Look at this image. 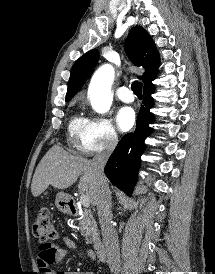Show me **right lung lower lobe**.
Returning a JSON list of instances; mask_svg holds the SVG:
<instances>
[{
	"instance_id": "98d812e1",
	"label": "right lung lower lobe",
	"mask_w": 215,
	"mask_h": 274,
	"mask_svg": "<svg viewBox=\"0 0 215 274\" xmlns=\"http://www.w3.org/2000/svg\"><path fill=\"white\" fill-rule=\"evenodd\" d=\"M143 91V105L137 116L136 130L120 140L104 170L112 184L129 196L137 181L140 156L145 148L144 139L151 134L152 129L149 124L154 120L150 109L154 105L151 94L154 93L155 88L153 85H148L144 86Z\"/></svg>"
}]
</instances>
